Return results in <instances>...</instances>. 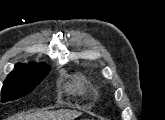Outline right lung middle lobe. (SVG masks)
Listing matches in <instances>:
<instances>
[{"mask_svg": "<svg viewBox=\"0 0 165 120\" xmlns=\"http://www.w3.org/2000/svg\"><path fill=\"white\" fill-rule=\"evenodd\" d=\"M50 67L22 65L6 78L2 88V101H13L29 94L48 74Z\"/></svg>", "mask_w": 165, "mask_h": 120, "instance_id": "1", "label": "right lung middle lobe"}]
</instances>
